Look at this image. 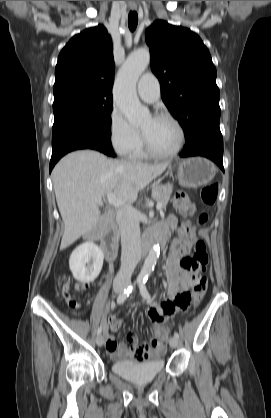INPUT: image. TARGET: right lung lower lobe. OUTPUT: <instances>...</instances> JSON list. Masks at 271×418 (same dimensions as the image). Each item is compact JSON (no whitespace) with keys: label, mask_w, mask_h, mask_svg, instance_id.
Wrapping results in <instances>:
<instances>
[{"label":"right lung lower lobe","mask_w":271,"mask_h":418,"mask_svg":"<svg viewBox=\"0 0 271 418\" xmlns=\"http://www.w3.org/2000/svg\"><path fill=\"white\" fill-rule=\"evenodd\" d=\"M78 149H95L106 155L115 157L110 141V132L104 129H89L69 133L52 139L50 172L62 156Z\"/></svg>","instance_id":"1"}]
</instances>
